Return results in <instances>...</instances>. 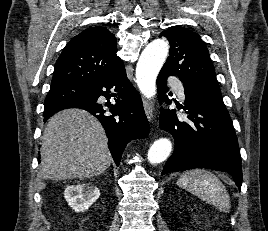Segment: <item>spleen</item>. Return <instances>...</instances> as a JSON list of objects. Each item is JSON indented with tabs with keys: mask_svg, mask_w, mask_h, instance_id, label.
<instances>
[{
	"mask_svg": "<svg viewBox=\"0 0 268 231\" xmlns=\"http://www.w3.org/2000/svg\"><path fill=\"white\" fill-rule=\"evenodd\" d=\"M177 184L220 211H229L230 198L225 186L211 172L204 169L189 170L180 176Z\"/></svg>",
	"mask_w": 268,
	"mask_h": 231,
	"instance_id": "spleen-1",
	"label": "spleen"
}]
</instances>
